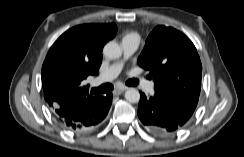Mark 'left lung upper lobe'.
Here are the masks:
<instances>
[{
    "instance_id": "left-lung-upper-lobe-1",
    "label": "left lung upper lobe",
    "mask_w": 244,
    "mask_h": 157,
    "mask_svg": "<svg viewBox=\"0 0 244 157\" xmlns=\"http://www.w3.org/2000/svg\"><path fill=\"white\" fill-rule=\"evenodd\" d=\"M138 65L150 71L155 95L187 122L200 95L202 65L194 44L180 31L157 26L146 40Z\"/></svg>"
}]
</instances>
